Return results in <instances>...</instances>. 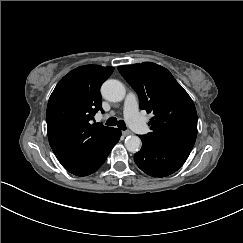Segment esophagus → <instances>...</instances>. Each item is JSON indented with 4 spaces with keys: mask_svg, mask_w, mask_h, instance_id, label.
Masks as SVG:
<instances>
[{
    "mask_svg": "<svg viewBox=\"0 0 243 243\" xmlns=\"http://www.w3.org/2000/svg\"><path fill=\"white\" fill-rule=\"evenodd\" d=\"M129 135H132V132L130 130L122 131V136L126 137V136H129Z\"/></svg>",
    "mask_w": 243,
    "mask_h": 243,
    "instance_id": "1",
    "label": "esophagus"
}]
</instances>
